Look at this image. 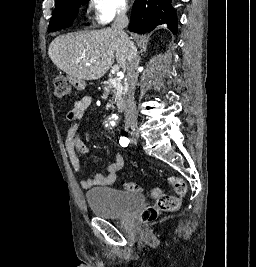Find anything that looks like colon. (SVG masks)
<instances>
[{
  "mask_svg": "<svg viewBox=\"0 0 256 267\" xmlns=\"http://www.w3.org/2000/svg\"><path fill=\"white\" fill-rule=\"evenodd\" d=\"M55 95L58 99L68 98L72 95V85L63 77L55 79ZM168 182L174 191L171 196L160 197L162 200H155V206H150L141 212L142 224H149L155 220L159 212L174 213L179 209L181 198L187 195V185L181 178L170 176ZM124 187L130 192H139L140 187L136 182H126ZM160 188H154L152 195H159ZM158 197V196H153Z\"/></svg>",
  "mask_w": 256,
  "mask_h": 267,
  "instance_id": "colon-1",
  "label": "colon"
}]
</instances>
